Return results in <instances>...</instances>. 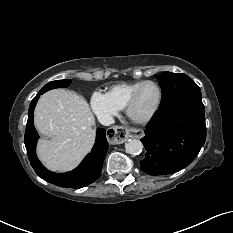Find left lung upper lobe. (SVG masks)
I'll list each match as a JSON object with an SVG mask.
<instances>
[{"instance_id": "obj_1", "label": "left lung upper lobe", "mask_w": 233, "mask_h": 233, "mask_svg": "<svg viewBox=\"0 0 233 233\" xmlns=\"http://www.w3.org/2000/svg\"><path fill=\"white\" fill-rule=\"evenodd\" d=\"M155 77L159 80V85L162 88L160 106L187 94H201L197 84L185 74L164 72Z\"/></svg>"}]
</instances>
